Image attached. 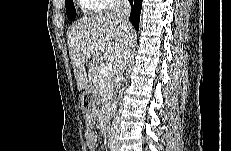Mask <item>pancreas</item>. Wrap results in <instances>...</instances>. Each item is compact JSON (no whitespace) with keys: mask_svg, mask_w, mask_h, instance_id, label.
Listing matches in <instances>:
<instances>
[{"mask_svg":"<svg viewBox=\"0 0 231 151\" xmlns=\"http://www.w3.org/2000/svg\"><path fill=\"white\" fill-rule=\"evenodd\" d=\"M92 82L95 88L102 93L104 104H107L113 94V74L110 72L107 75H103L100 73V68H98L92 78Z\"/></svg>","mask_w":231,"mask_h":151,"instance_id":"cf45deb5","label":"pancreas"}]
</instances>
